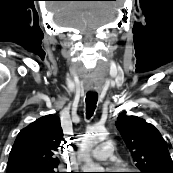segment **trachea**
<instances>
[{
	"mask_svg": "<svg viewBox=\"0 0 173 173\" xmlns=\"http://www.w3.org/2000/svg\"><path fill=\"white\" fill-rule=\"evenodd\" d=\"M97 101H98V95L97 94L87 93L86 99H85L86 117L87 118H90L93 115L95 108H96Z\"/></svg>",
	"mask_w": 173,
	"mask_h": 173,
	"instance_id": "obj_1",
	"label": "trachea"
}]
</instances>
